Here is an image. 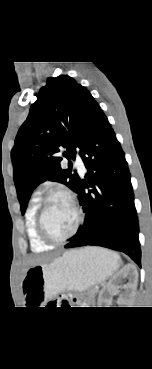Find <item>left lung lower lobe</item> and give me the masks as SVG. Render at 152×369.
I'll return each mask as SVG.
<instances>
[{
    "label": "left lung lower lobe",
    "mask_w": 152,
    "mask_h": 369,
    "mask_svg": "<svg viewBox=\"0 0 152 369\" xmlns=\"http://www.w3.org/2000/svg\"><path fill=\"white\" fill-rule=\"evenodd\" d=\"M88 170L75 192L84 224L65 248L95 245L121 251L141 266L139 225L125 154L100 106L80 152ZM90 188L88 191L86 189Z\"/></svg>",
    "instance_id": "1"
}]
</instances>
